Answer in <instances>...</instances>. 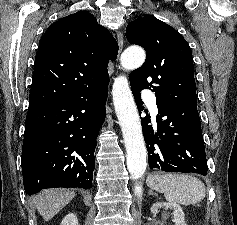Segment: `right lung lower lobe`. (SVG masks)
I'll use <instances>...</instances> for the list:
<instances>
[{
  "label": "right lung lower lobe",
  "instance_id": "obj_1",
  "mask_svg": "<svg viewBox=\"0 0 237 225\" xmlns=\"http://www.w3.org/2000/svg\"><path fill=\"white\" fill-rule=\"evenodd\" d=\"M107 87H89L65 100L29 106L21 158L28 195L46 188L92 187Z\"/></svg>",
  "mask_w": 237,
  "mask_h": 225
}]
</instances>
